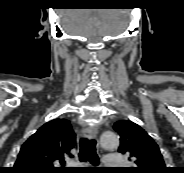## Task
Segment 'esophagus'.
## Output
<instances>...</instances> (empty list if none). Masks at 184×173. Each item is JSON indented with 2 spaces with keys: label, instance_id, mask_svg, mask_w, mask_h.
<instances>
[{
  "label": "esophagus",
  "instance_id": "34e87169",
  "mask_svg": "<svg viewBox=\"0 0 184 173\" xmlns=\"http://www.w3.org/2000/svg\"><path fill=\"white\" fill-rule=\"evenodd\" d=\"M82 135L90 139L97 138V127L89 126V127L83 128Z\"/></svg>",
  "mask_w": 184,
  "mask_h": 173
}]
</instances>
